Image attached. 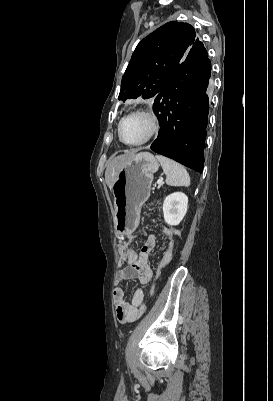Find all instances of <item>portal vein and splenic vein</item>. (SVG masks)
Segmentation results:
<instances>
[{
    "mask_svg": "<svg viewBox=\"0 0 273 401\" xmlns=\"http://www.w3.org/2000/svg\"><path fill=\"white\" fill-rule=\"evenodd\" d=\"M162 182H163V178H158V180H157V184H158V185H161V184H162Z\"/></svg>",
    "mask_w": 273,
    "mask_h": 401,
    "instance_id": "portal-vein-and-splenic-vein-1",
    "label": "portal vein and splenic vein"
}]
</instances>
